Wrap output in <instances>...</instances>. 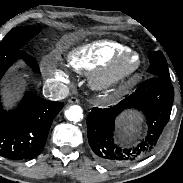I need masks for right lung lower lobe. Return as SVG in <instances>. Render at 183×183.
Instances as JSON below:
<instances>
[{
    "mask_svg": "<svg viewBox=\"0 0 183 183\" xmlns=\"http://www.w3.org/2000/svg\"><path fill=\"white\" fill-rule=\"evenodd\" d=\"M19 58L39 72L36 61L20 50L0 59V79ZM63 106V102L48 101L29 91L14 110L6 111L0 103V156L20 160L39 155Z\"/></svg>",
    "mask_w": 183,
    "mask_h": 183,
    "instance_id": "98d812e1",
    "label": "right lung lower lobe"
}]
</instances>
